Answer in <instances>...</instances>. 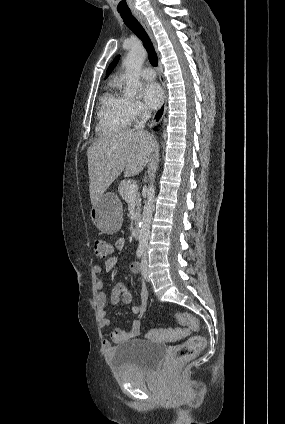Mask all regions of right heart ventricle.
<instances>
[{"instance_id":"right-heart-ventricle-1","label":"right heart ventricle","mask_w":285,"mask_h":424,"mask_svg":"<svg viewBox=\"0 0 285 424\" xmlns=\"http://www.w3.org/2000/svg\"><path fill=\"white\" fill-rule=\"evenodd\" d=\"M128 101L120 91L116 80L109 83L100 98L97 130L101 134H112L129 124Z\"/></svg>"}]
</instances>
